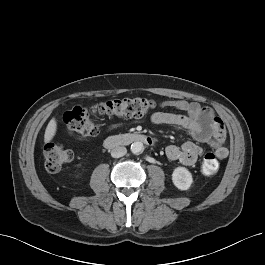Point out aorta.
<instances>
[{"label":"aorta","mask_w":265,"mask_h":265,"mask_svg":"<svg viewBox=\"0 0 265 265\" xmlns=\"http://www.w3.org/2000/svg\"><path fill=\"white\" fill-rule=\"evenodd\" d=\"M130 150L133 154H140L144 150V145L140 141L133 142L131 144Z\"/></svg>","instance_id":"obj_1"}]
</instances>
